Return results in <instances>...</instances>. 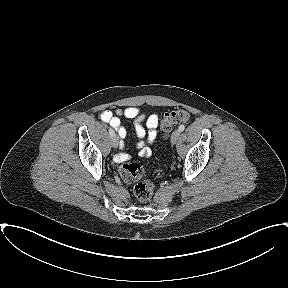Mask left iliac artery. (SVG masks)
<instances>
[{"label": "left iliac artery", "instance_id": "left-iliac-artery-1", "mask_svg": "<svg viewBox=\"0 0 288 288\" xmlns=\"http://www.w3.org/2000/svg\"><path fill=\"white\" fill-rule=\"evenodd\" d=\"M184 129H185V126H184V125H180L179 128H178V130H179L180 132H182Z\"/></svg>", "mask_w": 288, "mask_h": 288}]
</instances>
